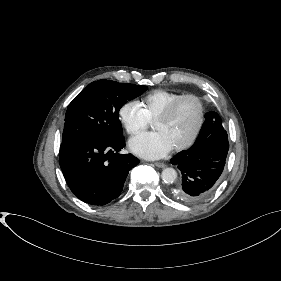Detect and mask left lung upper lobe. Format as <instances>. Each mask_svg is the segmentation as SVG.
<instances>
[{"mask_svg": "<svg viewBox=\"0 0 281 281\" xmlns=\"http://www.w3.org/2000/svg\"><path fill=\"white\" fill-rule=\"evenodd\" d=\"M210 115H211L212 118H214L215 120H217L218 123L222 126V121H221L219 115H218L216 112H211Z\"/></svg>", "mask_w": 281, "mask_h": 281, "instance_id": "5c2ea615", "label": "left lung upper lobe"}]
</instances>
